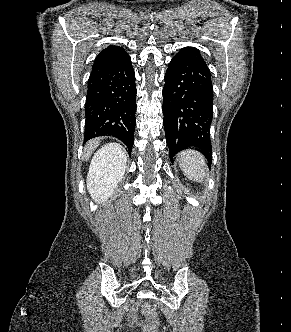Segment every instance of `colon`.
<instances>
[{
	"instance_id": "5ec220e1",
	"label": "colon",
	"mask_w": 291,
	"mask_h": 332,
	"mask_svg": "<svg viewBox=\"0 0 291 332\" xmlns=\"http://www.w3.org/2000/svg\"><path fill=\"white\" fill-rule=\"evenodd\" d=\"M142 312L147 319V331L146 332H159L157 329V313L154 307L150 304H144L142 306Z\"/></svg>"
}]
</instances>
